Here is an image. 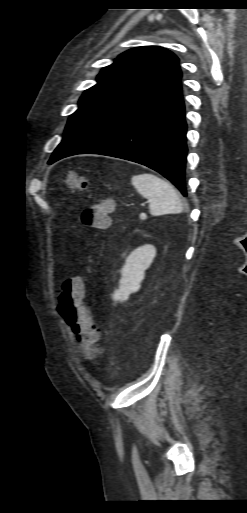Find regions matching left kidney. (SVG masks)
Returning a JSON list of instances; mask_svg holds the SVG:
<instances>
[{
  "label": "left kidney",
  "instance_id": "5707ae66",
  "mask_svg": "<svg viewBox=\"0 0 247 513\" xmlns=\"http://www.w3.org/2000/svg\"><path fill=\"white\" fill-rule=\"evenodd\" d=\"M155 255L156 248L151 244L140 246L130 253L121 270L119 288L113 294L115 301H127L130 294L140 289L145 270L149 268Z\"/></svg>",
  "mask_w": 247,
  "mask_h": 513
}]
</instances>
